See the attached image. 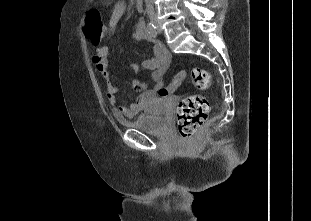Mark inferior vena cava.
Here are the masks:
<instances>
[{
    "label": "inferior vena cava",
    "instance_id": "inferior-vena-cava-1",
    "mask_svg": "<svg viewBox=\"0 0 311 221\" xmlns=\"http://www.w3.org/2000/svg\"><path fill=\"white\" fill-rule=\"evenodd\" d=\"M153 2H154V0H145L146 12H147L148 16H154V14H155Z\"/></svg>",
    "mask_w": 311,
    "mask_h": 221
}]
</instances>
